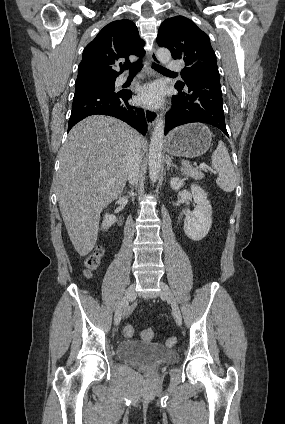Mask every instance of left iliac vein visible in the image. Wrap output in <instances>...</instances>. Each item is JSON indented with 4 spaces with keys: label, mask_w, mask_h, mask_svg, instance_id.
I'll use <instances>...</instances> for the list:
<instances>
[{
    "label": "left iliac vein",
    "mask_w": 285,
    "mask_h": 424,
    "mask_svg": "<svg viewBox=\"0 0 285 424\" xmlns=\"http://www.w3.org/2000/svg\"><path fill=\"white\" fill-rule=\"evenodd\" d=\"M160 288H161V291H160L161 298L167 300V302L171 305L173 317H174L176 323L178 325H181L182 324V316H181L180 309H179V307L176 303L174 296L170 292L167 285H165L163 282L160 283Z\"/></svg>",
    "instance_id": "left-iliac-vein-1"
}]
</instances>
